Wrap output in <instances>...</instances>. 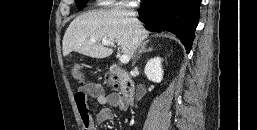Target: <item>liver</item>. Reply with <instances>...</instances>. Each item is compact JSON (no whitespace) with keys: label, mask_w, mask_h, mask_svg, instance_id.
<instances>
[{"label":"liver","mask_w":257,"mask_h":130,"mask_svg":"<svg viewBox=\"0 0 257 130\" xmlns=\"http://www.w3.org/2000/svg\"><path fill=\"white\" fill-rule=\"evenodd\" d=\"M132 13L112 9L95 10L76 17L67 28L63 38V56L71 52L93 58H106L112 49L101 42L108 40L121 46L123 55L132 57L134 32L140 42L146 40L149 32L133 17Z\"/></svg>","instance_id":"liver-1"}]
</instances>
